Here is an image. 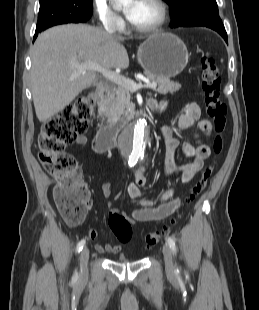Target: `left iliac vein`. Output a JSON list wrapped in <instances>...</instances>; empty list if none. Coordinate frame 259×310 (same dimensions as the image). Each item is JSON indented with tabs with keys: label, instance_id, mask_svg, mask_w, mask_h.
Wrapping results in <instances>:
<instances>
[{
	"label": "left iliac vein",
	"instance_id": "left-iliac-vein-1",
	"mask_svg": "<svg viewBox=\"0 0 259 310\" xmlns=\"http://www.w3.org/2000/svg\"><path fill=\"white\" fill-rule=\"evenodd\" d=\"M163 255L165 259V269L167 274L171 275L174 269L173 256L170 247L167 244L163 245Z\"/></svg>",
	"mask_w": 259,
	"mask_h": 310
}]
</instances>
